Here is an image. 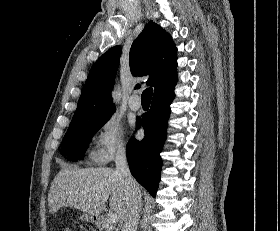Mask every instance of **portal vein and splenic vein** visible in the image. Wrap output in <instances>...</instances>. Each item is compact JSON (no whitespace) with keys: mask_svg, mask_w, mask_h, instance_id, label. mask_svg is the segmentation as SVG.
<instances>
[{"mask_svg":"<svg viewBox=\"0 0 280 231\" xmlns=\"http://www.w3.org/2000/svg\"><path fill=\"white\" fill-rule=\"evenodd\" d=\"M107 221H110V223H116V221H119V215H117V213H113V211H109Z\"/></svg>","mask_w":280,"mask_h":231,"instance_id":"portal-vein-and-splenic-vein-1","label":"portal vein and splenic vein"}]
</instances>
